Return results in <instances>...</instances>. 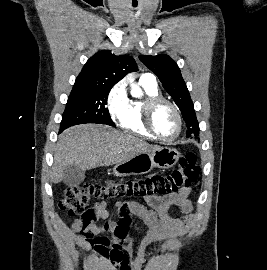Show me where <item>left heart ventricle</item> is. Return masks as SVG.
<instances>
[{
	"instance_id": "b2bd125f",
	"label": "left heart ventricle",
	"mask_w": 267,
	"mask_h": 270,
	"mask_svg": "<svg viewBox=\"0 0 267 270\" xmlns=\"http://www.w3.org/2000/svg\"><path fill=\"white\" fill-rule=\"evenodd\" d=\"M153 124L157 133L164 138H172L178 128L173 109L167 104H160L154 111Z\"/></svg>"
}]
</instances>
